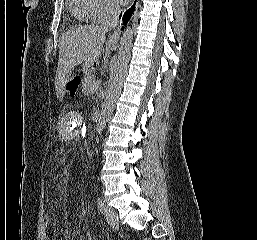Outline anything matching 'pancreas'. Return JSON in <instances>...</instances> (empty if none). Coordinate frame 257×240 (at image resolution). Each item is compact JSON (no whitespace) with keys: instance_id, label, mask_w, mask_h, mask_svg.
Here are the masks:
<instances>
[{"instance_id":"1","label":"pancreas","mask_w":257,"mask_h":240,"mask_svg":"<svg viewBox=\"0 0 257 240\" xmlns=\"http://www.w3.org/2000/svg\"><path fill=\"white\" fill-rule=\"evenodd\" d=\"M94 76L91 72H86V76L84 78L83 84H82V89H83V93L85 95H88L91 91L90 89L94 86V85H99L98 82H95L93 80Z\"/></svg>"}]
</instances>
